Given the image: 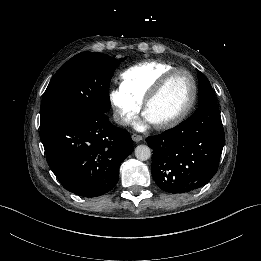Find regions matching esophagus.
<instances>
[{"instance_id": "1", "label": "esophagus", "mask_w": 261, "mask_h": 261, "mask_svg": "<svg viewBox=\"0 0 261 261\" xmlns=\"http://www.w3.org/2000/svg\"><path fill=\"white\" fill-rule=\"evenodd\" d=\"M131 138H132V140H133L134 142H138V141H141V140L143 139V137H142L141 135H138V134H133V135L131 136Z\"/></svg>"}]
</instances>
